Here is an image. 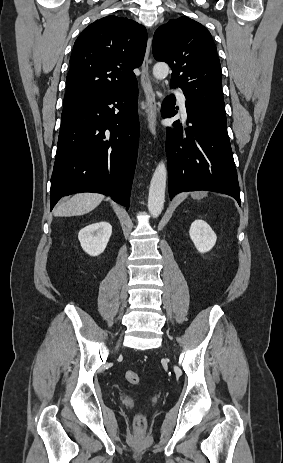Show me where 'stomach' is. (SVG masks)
<instances>
[{
    "label": "stomach",
    "instance_id": "0dacf381",
    "mask_svg": "<svg viewBox=\"0 0 283 463\" xmlns=\"http://www.w3.org/2000/svg\"><path fill=\"white\" fill-rule=\"evenodd\" d=\"M201 196H203V193H196V194H194V197H201Z\"/></svg>",
    "mask_w": 283,
    "mask_h": 463
}]
</instances>
